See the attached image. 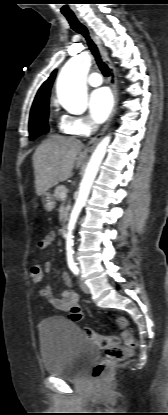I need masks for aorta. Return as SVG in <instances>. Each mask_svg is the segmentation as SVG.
Returning a JSON list of instances; mask_svg holds the SVG:
<instances>
[{"label": "aorta", "mask_w": 168, "mask_h": 415, "mask_svg": "<svg viewBox=\"0 0 168 415\" xmlns=\"http://www.w3.org/2000/svg\"><path fill=\"white\" fill-rule=\"evenodd\" d=\"M91 65L89 54H81L71 58L61 69L57 79V96L60 104L70 113H83L87 107L86 76ZM110 135L104 137L97 145L87 165L85 175L80 184L78 198L70 214L66 235L68 263L73 264L72 246L73 230L79 214L89 196L91 186L98 173L101 162L110 142Z\"/></svg>", "instance_id": "obj_1"}]
</instances>
